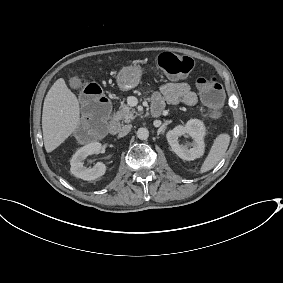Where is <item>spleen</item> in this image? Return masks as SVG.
Masks as SVG:
<instances>
[{
	"instance_id": "1",
	"label": "spleen",
	"mask_w": 283,
	"mask_h": 283,
	"mask_svg": "<svg viewBox=\"0 0 283 283\" xmlns=\"http://www.w3.org/2000/svg\"><path fill=\"white\" fill-rule=\"evenodd\" d=\"M230 140L231 137L228 133H221L217 135L207 157L201 165V174L209 172L221 161L229 147Z\"/></svg>"
}]
</instances>
